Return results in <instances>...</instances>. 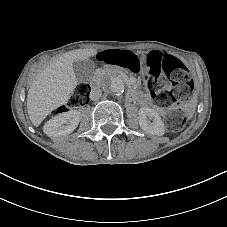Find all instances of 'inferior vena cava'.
Masks as SVG:
<instances>
[{
  "label": "inferior vena cava",
  "instance_id": "obj_1",
  "mask_svg": "<svg viewBox=\"0 0 227 227\" xmlns=\"http://www.w3.org/2000/svg\"><path fill=\"white\" fill-rule=\"evenodd\" d=\"M101 96H102V90L99 88H94L90 92V99L92 101H98Z\"/></svg>",
  "mask_w": 227,
  "mask_h": 227
}]
</instances>
